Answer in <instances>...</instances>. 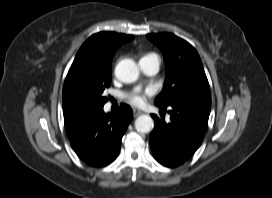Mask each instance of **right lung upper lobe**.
<instances>
[{"label": "right lung upper lobe", "mask_w": 272, "mask_h": 198, "mask_svg": "<svg viewBox=\"0 0 272 198\" xmlns=\"http://www.w3.org/2000/svg\"><path fill=\"white\" fill-rule=\"evenodd\" d=\"M133 35L100 32L89 37L80 47L66 76L62 103L64 120L88 109L87 86L101 75L111 74L114 52Z\"/></svg>", "instance_id": "obj_1"}]
</instances>
